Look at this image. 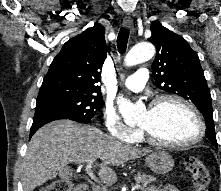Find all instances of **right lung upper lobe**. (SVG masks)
<instances>
[{"label":"right lung upper lobe","instance_id":"right-lung-upper-lobe-1","mask_svg":"<svg viewBox=\"0 0 221 191\" xmlns=\"http://www.w3.org/2000/svg\"><path fill=\"white\" fill-rule=\"evenodd\" d=\"M100 24L68 40L44 77L37 101L68 96H102L100 71L108 50Z\"/></svg>","mask_w":221,"mask_h":191}]
</instances>
